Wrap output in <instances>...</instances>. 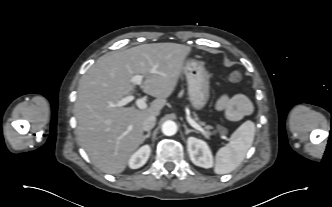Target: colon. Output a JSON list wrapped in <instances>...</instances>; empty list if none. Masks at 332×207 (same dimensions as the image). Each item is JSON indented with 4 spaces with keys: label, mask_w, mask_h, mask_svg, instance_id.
I'll return each instance as SVG.
<instances>
[{
    "label": "colon",
    "mask_w": 332,
    "mask_h": 207,
    "mask_svg": "<svg viewBox=\"0 0 332 207\" xmlns=\"http://www.w3.org/2000/svg\"><path fill=\"white\" fill-rule=\"evenodd\" d=\"M241 79V75L237 70H231L227 75V80L230 83H237ZM218 134L220 136H225L227 134V128L223 125L218 126Z\"/></svg>",
    "instance_id": "1"
}]
</instances>
